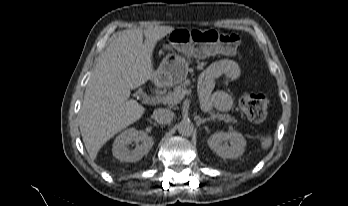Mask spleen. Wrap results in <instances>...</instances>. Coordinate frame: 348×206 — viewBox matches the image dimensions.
Returning <instances> with one entry per match:
<instances>
[{
    "label": "spleen",
    "instance_id": "3e777b00",
    "mask_svg": "<svg viewBox=\"0 0 348 206\" xmlns=\"http://www.w3.org/2000/svg\"><path fill=\"white\" fill-rule=\"evenodd\" d=\"M272 144V138H271V136H266V137H263L262 139H261V148L263 149V150H266V149H268L269 147H270V145Z\"/></svg>",
    "mask_w": 348,
    "mask_h": 206
}]
</instances>
